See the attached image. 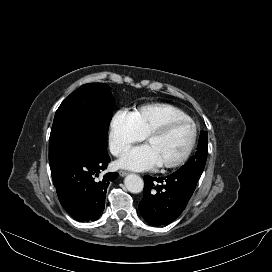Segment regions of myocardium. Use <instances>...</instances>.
<instances>
[{
	"label": "myocardium",
	"mask_w": 272,
	"mask_h": 272,
	"mask_svg": "<svg viewBox=\"0 0 272 272\" xmlns=\"http://www.w3.org/2000/svg\"><path fill=\"white\" fill-rule=\"evenodd\" d=\"M180 124H189L192 127V139L191 142L185 151V153L176 161L171 162V163H161L160 167L164 169H174L182 166L187 162V160L190 158L196 142H197V137H198V128L196 123L191 119V118H178V119H172L168 120L165 123L161 124L160 126L152 129L145 135V140L148 141L149 139L156 137V136H161L169 132L173 127L180 125Z\"/></svg>",
	"instance_id": "1"
}]
</instances>
